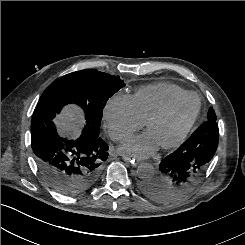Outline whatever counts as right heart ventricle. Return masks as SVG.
<instances>
[{
    "label": "right heart ventricle",
    "instance_id": "e07e8e85",
    "mask_svg": "<svg viewBox=\"0 0 245 245\" xmlns=\"http://www.w3.org/2000/svg\"><path fill=\"white\" fill-rule=\"evenodd\" d=\"M189 93L170 83H156L139 88L132 96L139 118L145 122L170 101Z\"/></svg>",
    "mask_w": 245,
    "mask_h": 245
}]
</instances>
